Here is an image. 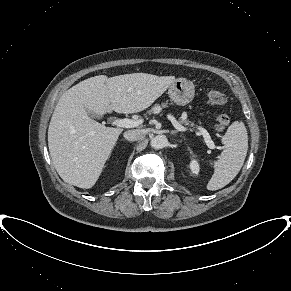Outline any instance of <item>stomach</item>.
Here are the masks:
<instances>
[{"label":"stomach","mask_w":291,"mask_h":291,"mask_svg":"<svg viewBox=\"0 0 291 291\" xmlns=\"http://www.w3.org/2000/svg\"><path fill=\"white\" fill-rule=\"evenodd\" d=\"M168 94L171 100L177 105L185 106L194 98V84L185 78L175 79V81L169 86Z\"/></svg>","instance_id":"obj_1"}]
</instances>
